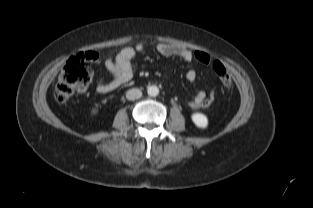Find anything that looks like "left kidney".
<instances>
[{
	"label": "left kidney",
	"instance_id": "left-kidney-1",
	"mask_svg": "<svg viewBox=\"0 0 313 208\" xmlns=\"http://www.w3.org/2000/svg\"><path fill=\"white\" fill-rule=\"evenodd\" d=\"M191 118L194 124L199 128H206L208 125V119L202 113H194Z\"/></svg>",
	"mask_w": 313,
	"mask_h": 208
}]
</instances>
